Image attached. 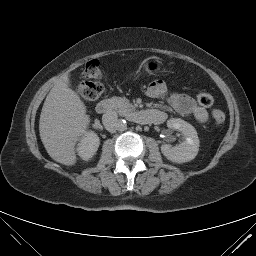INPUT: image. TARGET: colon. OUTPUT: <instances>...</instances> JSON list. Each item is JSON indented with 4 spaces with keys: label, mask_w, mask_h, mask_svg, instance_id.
<instances>
[{
    "label": "colon",
    "mask_w": 256,
    "mask_h": 256,
    "mask_svg": "<svg viewBox=\"0 0 256 256\" xmlns=\"http://www.w3.org/2000/svg\"><path fill=\"white\" fill-rule=\"evenodd\" d=\"M102 79V71L97 60L89 61L83 72L82 81L77 87L78 94L84 101L92 102L99 99L104 91ZM197 101L202 107H211L214 103V98L211 94L202 92L197 95ZM213 121L221 125L225 121V114L221 110H213L211 112Z\"/></svg>",
    "instance_id": "5ec220e1"
}]
</instances>
